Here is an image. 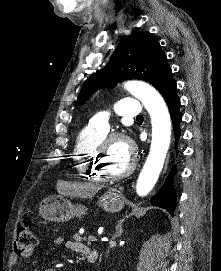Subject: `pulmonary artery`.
Returning a JSON list of instances; mask_svg holds the SVG:
<instances>
[{
    "label": "pulmonary artery",
    "instance_id": "1",
    "mask_svg": "<svg viewBox=\"0 0 221 271\" xmlns=\"http://www.w3.org/2000/svg\"><path fill=\"white\" fill-rule=\"evenodd\" d=\"M124 102H119L116 108L120 112V117H138V112H143L141 102H136L135 98H124ZM105 112H97V117H91V122H87V127H109V122H117V117H109L112 107H105ZM79 138H98V133H110V128H80Z\"/></svg>",
    "mask_w": 221,
    "mask_h": 271
}]
</instances>
